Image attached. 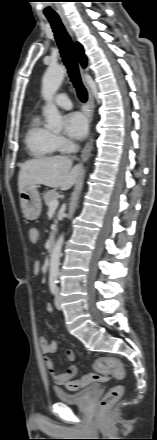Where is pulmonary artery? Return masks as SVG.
<instances>
[{
	"instance_id": "e3ab8cb5",
	"label": "pulmonary artery",
	"mask_w": 157,
	"mask_h": 440,
	"mask_svg": "<svg viewBox=\"0 0 157 440\" xmlns=\"http://www.w3.org/2000/svg\"><path fill=\"white\" fill-rule=\"evenodd\" d=\"M54 102L60 108L67 109V110L72 108V103H71L70 99L64 93L57 95Z\"/></svg>"
}]
</instances>
